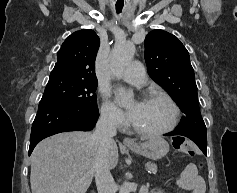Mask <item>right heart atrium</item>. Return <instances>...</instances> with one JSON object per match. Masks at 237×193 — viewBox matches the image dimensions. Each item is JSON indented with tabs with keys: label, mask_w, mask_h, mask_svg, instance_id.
I'll return each instance as SVG.
<instances>
[{
	"label": "right heart atrium",
	"mask_w": 237,
	"mask_h": 193,
	"mask_svg": "<svg viewBox=\"0 0 237 193\" xmlns=\"http://www.w3.org/2000/svg\"><path fill=\"white\" fill-rule=\"evenodd\" d=\"M100 114L102 120L112 127L123 128L126 124L123 112L109 99L106 92L102 93Z\"/></svg>",
	"instance_id": "1"
}]
</instances>
